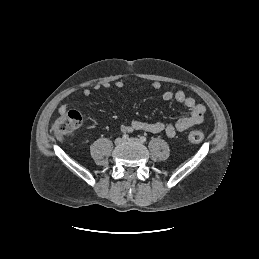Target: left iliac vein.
Here are the masks:
<instances>
[{"label":"left iliac vein","instance_id":"left-iliac-vein-1","mask_svg":"<svg viewBox=\"0 0 259 259\" xmlns=\"http://www.w3.org/2000/svg\"><path fill=\"white\" fill-rule=\"evenodd\" d=\"M127 142H136V143H138V142H141L139 139H137V138H129V139H127Z\"/></svg>","mask_w":259,"mask_h":259}]
</instances>
